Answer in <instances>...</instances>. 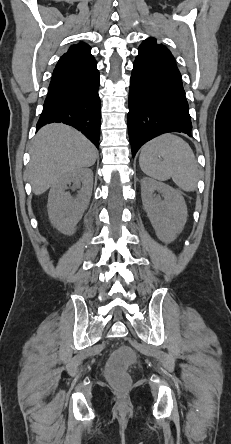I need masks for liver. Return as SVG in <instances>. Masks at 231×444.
Here are the masks:
<instances>
[{"label":"liver","instance_id":"6515ba94","mask_svg":"<svg viewBox=\"0 0 231 444\" xmlns=\"http://www.w3.org/2000/svg\"><path fill=\"white\" fill-rule=\"evenodd\" d=\"M27 177L35 195L46 192L67 173L92 166L96 147L80 132L64 124L41 128L30 149Z\"/></svg>","mask_w":231,"mask_h":444}]
</instances>
